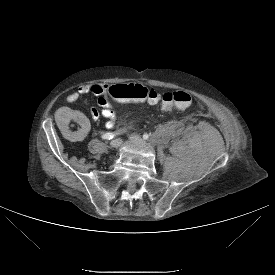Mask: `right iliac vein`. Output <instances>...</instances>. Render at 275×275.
Listing matches in <instances>:
<instances>
[{"instance_id":"63e3f726","label":"right iliac vein","mask_w":275,"mask_h":275,"mask_svg":"<svg viewBox=\"0 0 275 275\" xmlns=\"http://www.w3.org/2000/svg\"><path fill=\"white\" fill-rule=\"evenodd\" d=\"M122 141L121 139H114L110 142V148L111 149H117L121 145Z\"/></svg>"}]
</instances>
